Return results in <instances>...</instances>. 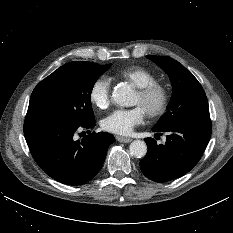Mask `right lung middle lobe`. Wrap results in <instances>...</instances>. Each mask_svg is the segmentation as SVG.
<instances>
[{
	"instance_id": "dd1d6c3e",
	"label": "right lung middle lobe",
	"mask_w": 233,
	"mask_h": 233,
	"mask_svg": "<svg viewBox=\"0 0 233 233\" xmlns=\"http://www.w3.org/2000/svg\"><path fill=\"white\" fill-rule=\"evenodd\" d=\"M110 66L86 61L61 66L35 87L27 113L51 114L85 125L94 123L91 92Z\"/></svg>"
}]
</instances>
